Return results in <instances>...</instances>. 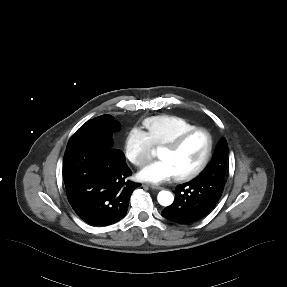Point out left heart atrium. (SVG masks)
I'll return each instance as SVG.
<instances>
[{
    "label": "left heart atrium",
    "instance_id": "39dd6f15",
    "mask_svg": "<svg viewBox=\"0 0 287 287\" xmlns=\"http://www.w3.org/2000/svg\"><path fill=\"white\" fill-rule=\"evenodd\" d=\"M174 177H176V174L173 168L165 160L151 162L138 173V178L141 181L153 184H160Z\"/></svg>",
    "mask_w": 287,
    "mask_h": 287
}]
</instances>
